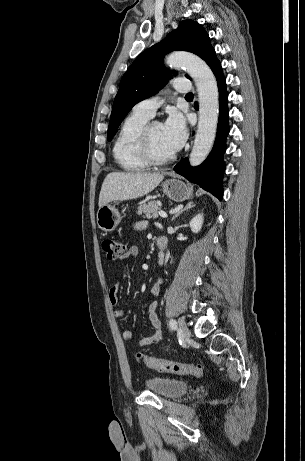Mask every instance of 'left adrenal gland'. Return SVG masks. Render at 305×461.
<instances>
[{"label": "left adrenal gland", "instance_id": "left-adrenal-gland-1", "mask_svg": "<svg viewBox=\"0 0 305 461\" xmlns=\"http://www.w3.org/2000/svg\"><path fill=\"white\" fill-rule=\"evenodd\" d=\"M193 207H195V204H194L193 202L187 203L186 206H185L184 208L180 209L179 211H177V212L175 213V215L173 216V218H172L171 221L175 220V219H176L180 214H182L184 211H187V210H189V209H191V208H193Z\"/></svg>", "mask_w": 305, "mask_h": 461}]
</instances>
